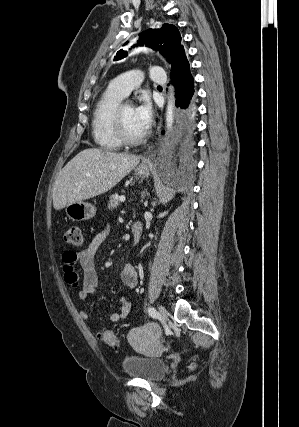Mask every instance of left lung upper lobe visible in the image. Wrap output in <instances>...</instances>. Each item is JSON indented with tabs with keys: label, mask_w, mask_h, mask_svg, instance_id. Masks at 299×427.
Instances as JSON below:
<instances>
[{
	"label": "left lung upper lobe",
	"mask_w": 299,
	"mask_h": 427,
	"mask_svg": "<svg viewBox=\"0 0 299 427\" xmlns=\"http://www.w3.org/2000/svg\"><path fill=\"white\" fill-rule=\"evenodd\" d=\"M142 42L140 46L146 44L155 50H159L170 63H172L177 51L181 46L180 32L174 25L163 24L160 29H148L139 34ZM127 44V42L125 43ZM127 56V51H119L115 60Z\"/></svg>",
	"instance_id": "5c2ea615"
}]
</instances>
